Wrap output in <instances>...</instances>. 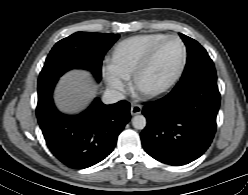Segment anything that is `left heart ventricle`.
Here are the masks:
<instances>
[{
    "instance_id": "1",
    "label": "left heart ventricle",
    "mask_w": 248,
    "mask_h": 195,
    "mask_svg": "<svg viewBox=\"0 0 248 195\" xmlns=\"http://www.w3.org/2000/svg\"><path fill=\"white\" fill-rule=\"evenodd\" d=\"M183 57V47L179 40L168 41L159 51L151 69L142 80L146 89H156L165 85L177 72Z\"/></svg>"
}]
</instances>
